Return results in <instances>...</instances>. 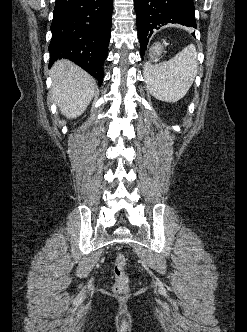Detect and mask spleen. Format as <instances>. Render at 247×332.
<instances>
[{
  "label": "spleen",
  "mask_w": 247,
  "mask_h": 332,
  "mask_svg": "<svg viewBox=\"0 0 247 332\" xmlns=\"http://www.w3.org/2000/svg\"><path fill=\"white\" fill-rule=\"evenodd\" d=\"M198 61L196 47L191 44L173 58L145 68L147 89L156 99L176 102L182 99L197 74Z\"/></svg>",
  "instance_id": "1"
}]
</instances>
